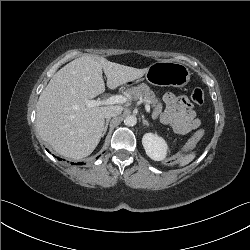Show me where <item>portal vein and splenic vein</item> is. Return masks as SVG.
<instances>
[{
  "label": "portal vein and splenic vein",
  "mask_w": 250,
  "mask_h": 250,
  "mask_svg": "<svg viewBox=\"0 0 250 250\" xmlns=\"http://www.w3.org/2000/svg\"><path fill=\"white\" fill-rule=\"evenodd\" d=\"M127 97L123 95H115L112 97H109L104 100H85V104L88 108L96 107V106H101V105H113V104H122L127 101ZM145 110L147 113H150V105L149 102L147 101L145 104Z\"/></svg>",
  "instance_id": "portal-vein-and-splenic-vein-1"
}]
</instances>
